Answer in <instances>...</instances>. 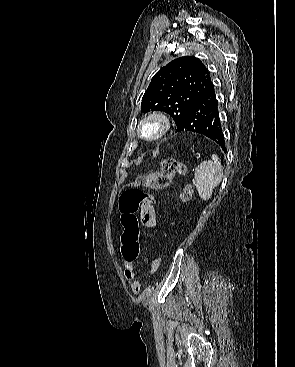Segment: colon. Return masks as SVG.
<instances>
[{"instance_id":"5ec220e1","label":"colon","mask_w":295,"mask_h":367,"mask_svg":"<svg viewBox=\"0 0 295 367\" xmlns=\"http://www.w3.org/2000/svg\"><path fill=\"white\" fill-rule=\"evenodd\" d=\"M186 166L177 159H166L162 161L158 170L152 174L138 176L129 183L121 193L119 198V209L121 212L122 250L128 259L136 258L139 251L138 245V221L136 212L142 199H145L151 206L159 205L158 194H144V189L161 190L168 187L176 174H185ZM192 187L186 185L180 193L181 202L185 203L191 199ZM159 259H154L151 266L158 269Z\"/></svg>"}]
</instances>
